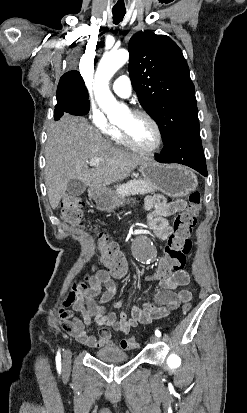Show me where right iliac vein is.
<instances>
[{"instance_id":"obj_1","label":"right iliac vein","mask_w":247,"mask_h":413,"mask_svg":"<svg viewBox=\"0 0 247 413\" xmlns=\"http://www.w3.org/2000/svg\"><path fill=\"white\" fill-rule=\"evenodd\" d=\"M71 350L67 349L63 354V367L64 370H68L71 364Z\"/></svg>"}]
</instances>
